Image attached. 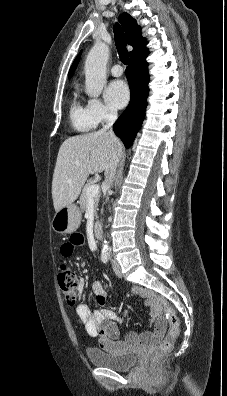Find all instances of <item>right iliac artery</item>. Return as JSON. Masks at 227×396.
<instances>
[{
	"mask_svg": "<svg viewBox=\"0 0 227 396\" xmlns=\"http://www.w3.org/2000/svg\"><path fill=\"white\" fill-rule=\"evenodd\" d=\"M101 260L103 263H107L109 260V254H102Z\"/></svg>",
	"mask_w": 227,
	"mask_h": 396,
	"instance_id": "obj_1",
	"label": "right iliac artery"
}]
</instances>
